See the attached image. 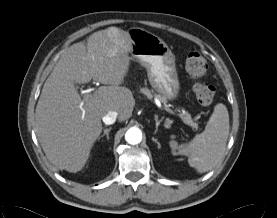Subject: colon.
I'll use <instances>...</instances> for the list:
<instances>
[{
  "label": "colon",
  "instance_id": "5ec220e1",
  "mask_svg": "<svg viewBox=\"0 0 277 218\" xmlns=\"http://www.w3.org/2000/svg\"><path fill=\"white\" fill-rule=\"evenodd\" d=\"M185 69L195 81L193 91L197 101L203 105H210L215 97V87L202 79L207 74L208 65L204 56L198 51H190L185 60Z\"/></svg>",
  "mask_w": 277,
  "mask_h": 218
}]
</instances>
